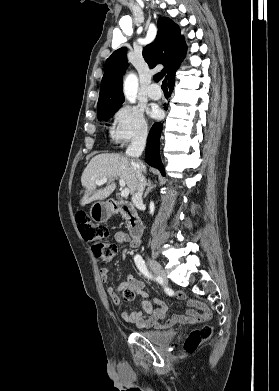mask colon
Here are the masks:
<instances>
[{
    "instance_id": "5ec220e1",
    "label": "colon",
    "mask_w": 279,
    "mask_h": 391,
    "mask_svg": "<svg viewBox=\"0 0 279 391\" xmlns=\"http://www.w3.org/2000/svg\"><path fill=\"white\" fill-rule=\"evenodd\" d=\"M78 229L82 238L89 242L96 258L104 264L110 263L118 253V246L108 240L109 230L102 225H96L85 212H79L76 217ZM126 299H132V290L125 291ZM213 333L209 325L193 329L185 339L184 351L194 352L203 342L207 341Z\"/></svg>"
}]
</instances>
